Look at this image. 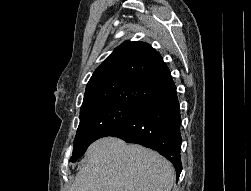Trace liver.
I'll use <instances>...</instances> for the list:
<instances>
[{"instance_id": "6515ba94", "label": "liver", "mask_w": 251, "mask_h": 191, "mask_svg": "<svg viewBox=\"0 0 251 191\" xmlns=\"http://www.w3.org/2000/svg\"><path fill=\"white\" fill-rule=\"evenodd\" d=\"M174 167L157 151L101 137L89 145L72 191H171Z\"/></svg>"}]
</instances>
